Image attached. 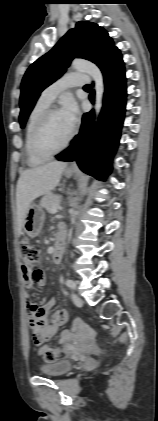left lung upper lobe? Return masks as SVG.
<instances>
[{
    "label": "left lung upper lobe",
    "instance_id": "left-lung-upper-lobe-1",
    "mask_svg": "<svg viewBox=\"0 0 158 421\" xmlns=\"http://www.w3.org/2000/svg\"><path fill=\"white\" fill-rule=\"evenodd\" d=\"M117 49L106 30L95 23L80 21L45 55L26 71L21 83V128L40 93L66 71L73 58H84L100 65Z\"/></svg>",
    "mask_w": 158,
    "mask_h": 421
}]
</instances>
